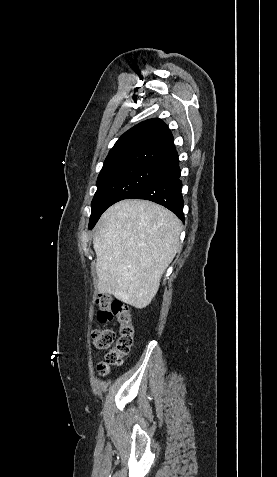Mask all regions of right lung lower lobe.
Instances as JSON below:
<instances>
[{
	"label": "right lung lower lobe",
	"mask_w": 277,
	"mask_h": 477,
	"mask_svg": "<svg viewBox=\"0 0 277 477\" xmlns=\"http://www.w3.org/2000/svg\"><path fill=\"white\" fill-rule=\"evenodd\" d=\"M180 175L177 155L162 165L158 172L128 199H145L156 202L171 210L184 221Z\"/></svg>",
	"instance_id": "1"
}]
</instances>
